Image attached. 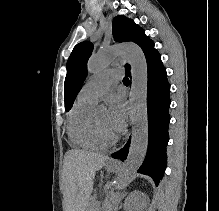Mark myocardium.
Instances as JSON below:
<instances>
[{"label":"myocardium","mask_w":219,"mask_h":211,"mask_svg":"<svg viewBox=\"0 0 219 211\" xmlns=\"http://www.w3.org/2000/svg\"><path fill=\"white\" fill-rule=\"evenodd\" d=\"M94 124L96 129L98 130L99 134L107 141L115 142L118 140L119 136L115 131H110L103 127L96 117H93Z\"/></svg>","instance_id":"myocardium-1"}]
</instances>
